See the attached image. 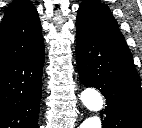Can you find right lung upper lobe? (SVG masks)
Here are the masks:
<instances>
[{
  "label": "right lung upper lobe",
  "mask_w": 142,
  "mask_h": 128,
  "mask_svg": "<svg viewBox=\"0 0 142 128\" xmlns=\"http://www.w3.org/2000/svg\"><path fill=\"white\" fill-rule=\"evenodd\" d=\"M43 42L38 12L29 0H16L0 24V67L32 52Z\"/></svg>",
  "instance_id": "obj_1"
}]
</instances>
